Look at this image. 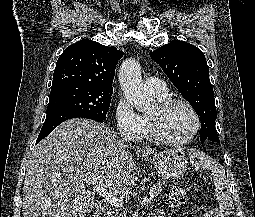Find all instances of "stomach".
Segmentation results:
<instances>
[{
    "instance_id": "obj_1",
    "label": "stomach",
    "mask_w": 255,
    "mask_h": 217,
    "mask_svg": "<svg viewBox=\"0 0 255 217\" xmlns=\"http://www.w3.org/2000/svg\"><path fill=\"white\" fill-rule=\"evenodd\" d=\"M152 163L163 179H179L187 169V159L184 149H167L153 157Z\"/></svg>"
}]
</instances>
